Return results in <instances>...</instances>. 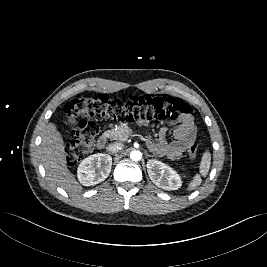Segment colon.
<instances>
[{
	"mask_svg": "<svg viewBox=\"0 0 267 267\" xmlns=\"http://www.w3.org/2000/svg\"><path fill=\"white\" fill-rule=\"evenodd\" d=\"M66 118L74 124L72 140L66 147V161L73 165L85 158L94 148L99 126L95 119L118 121H150L179 119L189 115L191 107L180 98L161 95H135L111 98L106 94L80 95L64 108ZM194 140L188 147L190 158L198 154Z\"/></svg>",
	"mask_w": 267,
	"mask_h": 267,
	"instance_id": "colon-1",
	"label": "colon"
}]
</instances>
